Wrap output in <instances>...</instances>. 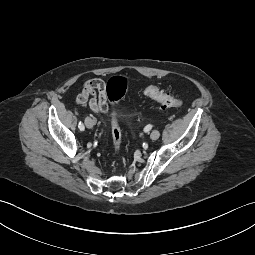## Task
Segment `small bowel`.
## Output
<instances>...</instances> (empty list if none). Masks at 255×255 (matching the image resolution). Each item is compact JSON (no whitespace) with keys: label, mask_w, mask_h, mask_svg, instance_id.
I'll list each match as a JSON object with an SVG mask.
<instances>
[{"label":"small bowel","mask_w":255,"mask_h":255,"mask_svg":"<svg viewBox=\"0 0 255 255\" xmlns=\"http://www.w3.org/2000/svg\"><path fill=\"white\" fill-rule=\"evenodd\" d=\"M76 102L82 106L88 104L91 110L96 113H107L109 104L106 83L99 78L88 80L77 96Z\"/></svg>","instance_id":"1"}]
</instances>
